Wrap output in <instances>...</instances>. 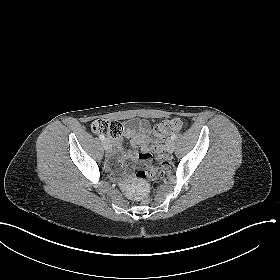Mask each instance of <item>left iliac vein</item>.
<instances>
[{"label":"left iliac vein","mask_w":280,"mask_h":280,"mask_svg":"<svg viewBox=\"0 0 280 280\" xmlns=\"http://www.w3.org/2000/svg\"><path fill=\"white\" fill-rule=\"evenodd\" d=\"M166 146H167V151H168L169 153H172V152L174 151L175 144H174V141H173L172 139H170V140L167 141Z\"/></svg>","instance_id":"1"}]
</instances>
